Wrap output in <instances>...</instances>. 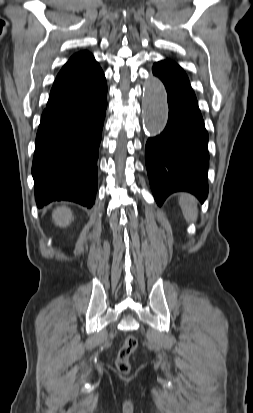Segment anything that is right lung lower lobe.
Returning a JSON list of instances; mask_svg holds the SVG:
<instances>
[{
    "instance_id": "obj_1",
    "label": "right lung lower lobe",
    "mask_w": 253,
    "mask_h": 413,
    "mask_svg": "<svg viewBox=\"0 0 253 413\" xmlns=\"http://www.w3.org/2000/svg\"><path fill=\"white\" fill-rule=\"evenodd\" d=\"M106 95L105 80L92 93L43 111L32 166L38 207L55 200L94 204Z\"/></svg>"
}]
</instances>
